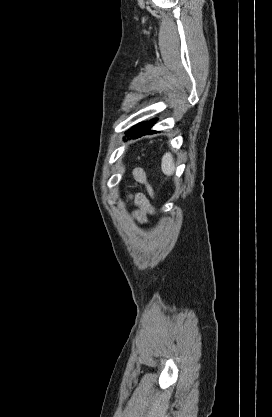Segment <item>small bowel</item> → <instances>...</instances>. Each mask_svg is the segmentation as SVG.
Segmentation results:
<instances>
[{
	"mask_svg": "<svg viewBox=\"0 0 272 417\" xmlns=\"http://www.w3.org/2000/svg\"><path fill=\"white\" fill-rule=\"evenodd\" d=\"M134 177L137 181L144 184L146 186L147 192L150 197H153V189L152 187L147 183L146 177L144 172L141 169H136L134 171ZM136 201L140 204L141 208L138 211H135L133 213V217L135 220H137L141 224L147 223V217H146V211L148 210V204L144 196H137Z\"/></svg>",
	"mask_w": 272,
	"mask_h": 417,
	"instance_id": "1",
	"label": "small bowel"
}]
</instances>
